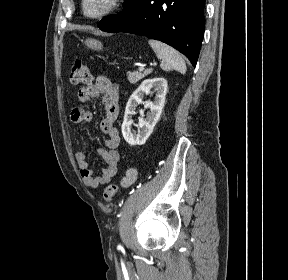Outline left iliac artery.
Here are the masks:
<instances>
[{
    "label": "left iliac artery",
    "instance_id": "1",
    "mask_svg": "<svg viewBox=\"0 0 288 280\" xmlns=\"http://www.w3.org/2000/svg\"><path fill=\"white\" fill-rule=\"evenodd\" d=\"M118 249H119V250H121V249H122V246H121V245H119V246H118Z\"/></svg>",
    "mask_w": 288,
    "mask_h": 280
}]
</instances>
